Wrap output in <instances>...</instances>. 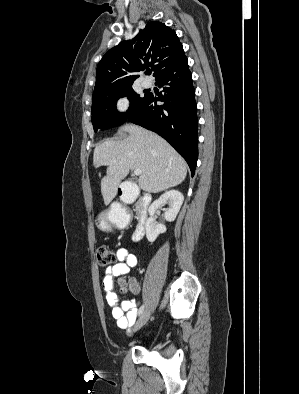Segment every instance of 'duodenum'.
Segmentation results:
<instances>
[{"instance_id":"duodenum-1","label":"duodenum","mask_w":299,"mask_h":394,"mask_svg":"<svg viewBox=\"0 0 299 394\" xmlns=\"http://www.w3.org/2000/svg\"><path fill=\"white\" fill-rule=\"evenodd\" d=\"M118 194L122 197L125 203H132L133 201L137 200V225L134 231V240H140L146 229V222H147V213L148 207L151 203L152 197L150 194L145 193L140 197H137L135 193L132 191L130 184H120L117 187Z\"/></svg>"}]
</instances>
